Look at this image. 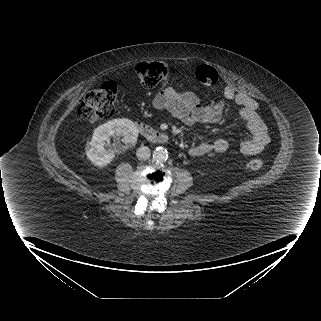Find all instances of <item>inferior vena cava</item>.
Segmentation results:
<instances>
[{
    "label": "inferior vena cava",
    "instance_id": "inferior-vena-cava-1",
    "mask_svg": "<svg viewBox=\"0 0 321 321\" xmlns=\"http://www.w3.org/2000/svg\"><path fill=\"white\" fill-rule=\"evenodd\" d=\"M151 152L150 149L146 146H141L137 149L136 156L140 160H146L150 157Z\"/></svg>",
    "mask_w": 321,
    "mask_h": 321
}]
</instances>
